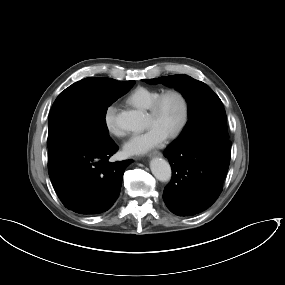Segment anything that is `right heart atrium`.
Masks as SVG:
<instances>
[{
    "label": "right heart atrium",
    "mask_w": 285,
    "mask_h": 285,
    "mask_svg": "<svg viewBox=\"0 0 285 285\" xmlns=\"http://www.w3.org/2000/svg\"><path fill=\"white\" fill-rule=\"evenodd\" d=\"M116 114H117V107L114 104H110L105 108L104 111V121L107 130L117 136L123 137L125 135V131L118 126L116 122Z\"/></svg>",
    "instance_id": "1"
}]
</instances>
